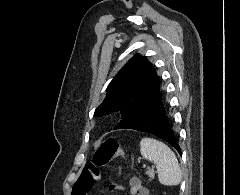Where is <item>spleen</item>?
Returning <instances> with one entry per match:
<instances>
[{
	"mask_svg": "<svg viewBox=\"0 0 240 195\" xmlns=\"http://www.w3.org/2000/svg\"><path fill=\"white\" fill-rule=\"evenodd\" d=\"M140 153L145 159L154 161L157 167L158 179L163 185H178L182 179V171L178 159L163 141L153 137H143L140 141Z\"/></svg>",
	"mask_w": 240,
	"mask_h": 195,
	"instance_id": "obj_1",
	"label": "spleen"
}]
</instances>
